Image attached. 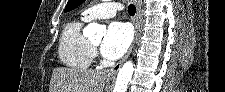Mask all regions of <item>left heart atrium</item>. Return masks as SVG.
<instances>
[{
    "label": "left heart atrium",
    "instance_id": "39dd6f15",
    "mask_svg": "<svg viewBox=\"0 0 225 92\" xmlns=\"http://www.w3.org/2000/svg\"><path fill=\"white\" fill-rule=\"evenodd\" d=\"M132 40V29L124 22H111L101 44L102 55L109 60L121 57Z\"/></svg>",
    "mask_w": 225,
    "mask_h": 92
}]
</instances>
